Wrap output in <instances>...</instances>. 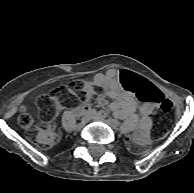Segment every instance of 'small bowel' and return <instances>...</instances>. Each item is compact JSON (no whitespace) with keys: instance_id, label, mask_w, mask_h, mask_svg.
<instances>
[{"instance_id":"1","label":"small bowel","mask_w":194,"mask_h":193,"mask_svg":"<svg viewBox=\"0 0 194 193\" xmlns=\"http://www.w3.org/2000/svg\"><path fill=\"white\" fill-rule=\"evenodd\" d=\"M149 83L156 92L160 93L157 87L151 82ZM93 85L96 88L102 89L104 92V94L99 97V100H103L104 97L112 99L111 109L113 110L114 115L121 119H129L132 124H135L137 126L135 132L136 139L146 142L151 128L150 116L154 112V103L146 102L140 106L139 111L141 119L138 121L137 117L134 115V111L138 105L137 96L134 92L124 88L119 80V72L116 69H110L105 73L96 74L93 78ZM77 108L85 109L89 107L81 106Z\"/></svg>"}]
</instances>
